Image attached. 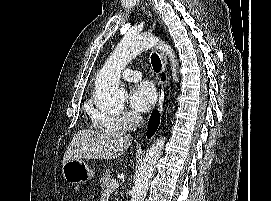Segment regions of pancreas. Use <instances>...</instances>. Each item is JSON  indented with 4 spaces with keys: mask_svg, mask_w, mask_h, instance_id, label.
<instances>
[{
    "mask_svg": "<svg viewBox=\"0 0 271 201\" xmlns=\"http://www.w3.org/2000/svg\"><path fill=\"white\" fill-rule=\"evenodd\" d=\"M114 181L113 175L110 172H106L101 178H100V183H101V190H105L110 183Z\"/></svg>",
    "mask_w": 271,
    "mask_h": 201,
    "instance_id": "cf45deb5",
    "label": "pancreas"
}]
</instances>
